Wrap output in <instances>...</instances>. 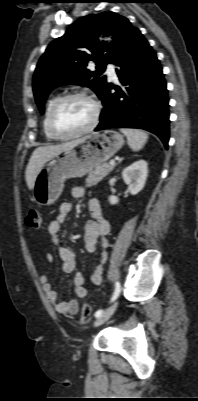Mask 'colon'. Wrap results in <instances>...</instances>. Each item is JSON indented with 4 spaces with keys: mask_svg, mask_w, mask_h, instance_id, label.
Returning a JSON list of instances; mask_svg holds the SVG:
<instances>
[{
    "mask_svg": "<svg viewBox=\"0 0 198 401\" xmlns=\"http://www.w3.org/2000/svg\"><path fill=\"white\" fill-rule=\"evenodd\" d=\"M26 223L31 228H40L42 226V215L37 210H29L26 216ZM91 314V306L87 303L83 305L81 321L87 322Z\"/></svg>",
    "mask_w": 198,
    "mask_h": 401,
    "instance_id": "5ec220e1",
    "label": "colon"
}]
</instances>
